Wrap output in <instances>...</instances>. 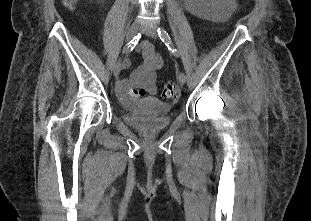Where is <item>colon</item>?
Returning <instances> with one entry per match:
<instances>
[{
	"label": "colon",
	"mask_w": 311,
	"mask_h": 221,
	"mask_svg": "<svg viewBox=\"0 0 311 221\" xmlns=\"http://www.w3.org/2000/svg\"><path fill=\"white\" fill-rule=\"evenodd\" d=\"M63 5L68 9H74L78 3V0H62ZM145 88H133L131 92V99H142L145 95ZM178 94V88L175 82L169 81L164 84L162 89V96L165 100H172Z\"/></svg>",
	"instance_id": "5ec220e1"
}]
</instances>
